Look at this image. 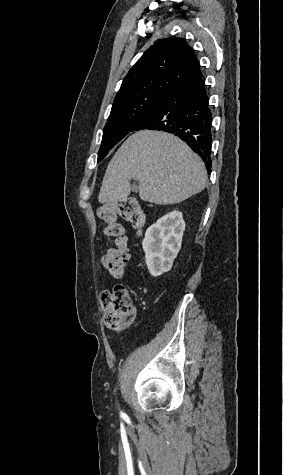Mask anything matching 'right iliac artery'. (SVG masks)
Segmentation results:
<instances>
[{"instance_id": "82829eb1", "label": "right iliac artery", "mask_w": 283, "mask_h": 475, "mask_svg": "<svg viewBox=\"0 0 283 475\" xmlns=\"http://www.w3.org/2000/svg\"><path fill=\"white\" fill-rule=\"evenodd\" d=\"M121 416H122V417H125L126 415H125L124 413H122V412H121Z\"/></svg>"}]
</instances>
